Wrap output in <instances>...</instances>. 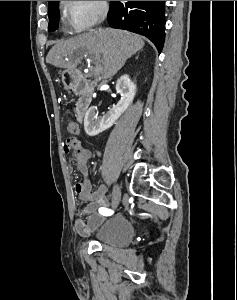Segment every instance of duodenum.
Returning a JSON list of instances; mask_svg holds the SVG:
<instances>
[{
	"label": "duodenum",
	"mask_w": 237,
	"mask_h": 300,
	"mask_svg": "<svg viewBox=\"0 0 237 300\" xmlns=\"http://www.w3.org/2000/svg\"><path fill=\"white\" fill-rule=\"evenodd\" d=\"M66 85L80 95L76 104V119L82 122L88 113L93 99V89L85 76L77 70H70L66 74Z\"/></svg>",
	"instance_id": "410a0bca"
}]
</instances>
